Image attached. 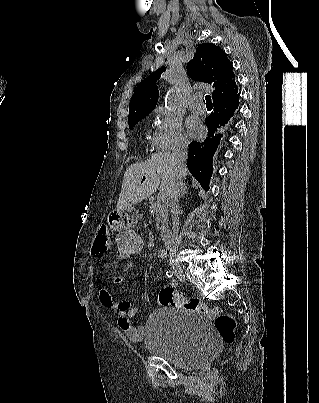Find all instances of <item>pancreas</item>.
Wrapping results in <instances>:
<instances>
[{
	"instance_id": "cf45deb5",
	"label": "pancreas",
	"mask_w": 319,
	"mask_h": 403,
	"mask_svg": "<svg viewBox=\"0 0 319 403\" xmlns=\"http://www.w3.org/2000/svg\"><path fill=\"white\" fill-rule=\"evenodd\" d=\"M150 210L156 214V228L158 231L168 228V209L165 204L160 201L151 203Z\"/></svg>"
}]
</instances>
